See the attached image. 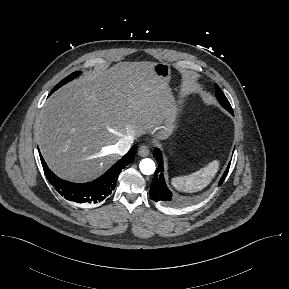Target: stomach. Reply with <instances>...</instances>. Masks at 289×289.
<instances>
[{"label":"stomach","mask_w":289,"mask_h":289,"mask_svg":"<svg viewBox=\"0 0 289 289\" xmlns=\"http://www.w3.org/2000/svg\"><path fill=\"white\" fill-rule=\"evenodd\" d=\"M152 70L161 79L165 80L166 82L169 81L171 77V68L169 64L164 62L153 63Z\"/></svg>","instance_id":"0dacf381"}]
</instances>
